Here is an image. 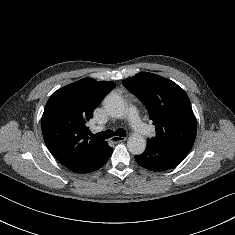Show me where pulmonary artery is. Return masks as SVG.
Returning a JSON list of instances; mask_svg holds the SVG:
<instances>
[{"mask_svg":"<svg viewBox=\"0 0 235 235\" xmlns=\"http://www.w3.org/2000/svg\"><path fill=\"white\" fill-rule=\"evenodd\" d=\"M127 119L129 124L131 125V127L134 129V131H136L139 134H145L147 133V126L140 120L139 116H138V112L136 110V108L134 106H130L127 109ZM97 129H100V127H98Z\"/></svg>","mask_w":235,"mask_h":235,"instance_id":"pulmonary-artery-1","label":"pulmonary artery"}]
</instances>
